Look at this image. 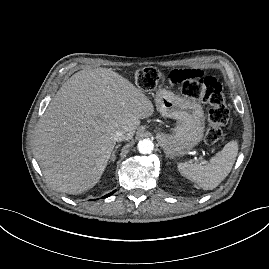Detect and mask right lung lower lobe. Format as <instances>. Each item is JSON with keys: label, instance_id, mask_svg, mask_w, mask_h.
I'll use <instances>...</instances> for the list:
<instances>
[{"label": "right lung lower lobe", "instance_id": "98d812e1", "mask_svg": "<svg viewBox=\"0 0 269 269\" xmlns=\"http://www.w3.org/2000/svg\"><path fill=\"white\" fill-rule=\"evenodd\" d=\"M114 192H115V191H113V192H111V193H109V194L105 195V196H104V197H102V198L109 197V196H110V195H112Z\"/></svg>", "mask_w": 269, "mask_h": 269}]
</instances>
